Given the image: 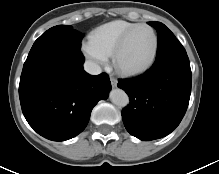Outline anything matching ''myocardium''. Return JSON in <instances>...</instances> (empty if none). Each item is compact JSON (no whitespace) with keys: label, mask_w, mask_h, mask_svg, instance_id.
Wrapping results in <instances>:
<instances>
[{"label":"myocardium","mask_w":219,"mask_h":174,"mask_svg":"<svg viewBox=\"0 0 219 174\" xmlns=\"http://www.w3.org/2000/svg\"><path fill=\"white\" fill-rule=\"evenodd\" d=\"M140 28H148L153 33L154 48H153L152 55H151L149 61L140 67L124 68L119 63L120 56L123 53L131 36ZM158 48H159V38H158V34H157L156 30L149 24H145V23L138 24L137 26L133 27L128 32H126L124 34V36L121 38V40L119 41L118 45L116 46V48L113 52V55H112L114 68L116 69V71L120 75L125 76V77H132V76L140 75V74L146 72L148 69H150L151 66L154 64L156 57H157V54H158Z\"/></svg>","instance_id":"1"}]
</instances>
